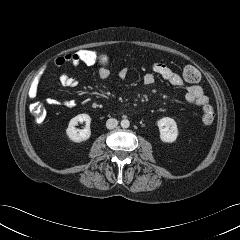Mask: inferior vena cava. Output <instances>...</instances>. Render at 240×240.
Masks as SVG:
<instances>
[{
    "instance_id": "602c4592",
    "label": "inferior vena cava",
    "mask_w": 240,
    "mask_h": 240,
    "mask_svg": "<svg viewBox=\"0 0 240 240\" xmlns=\"http://www.w3.org/2000/svg\"><path fill=\"white\" fill-rule=\"evenodd\" d=\"M117 125H118V121L114 118H110L106 122L107 129H114L117 127Z\"/></svg>"
}]
</instances>
